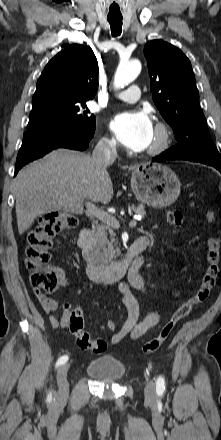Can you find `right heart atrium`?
Returning <instances> with one entry per match:
<instances>
[{
	"mask_svg": "<svg viewBox=\"0 0 221 440\" xmlns=\"http://www.w3.org/2000/svg\"><path fill=\"white\" fill-rule=\"evenodd\" d=\"M100 144L105 150L110 151V152L115 151L118 147V143L115 140V138L110 137V136H104L100 140Z\"/></svg>",
	"mask_w": 221,
	"mask_h": 440,
	"instance_id": "obj_1",
	"label": "right heart atrium"
}]
</instances>
